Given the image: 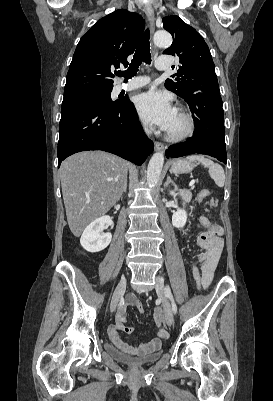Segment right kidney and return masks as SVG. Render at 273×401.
I'll list each match as a JSON object with an SVG mask.
<instances>
[{
    "label": "right kidney",
    "mask_w": 273,
    "mask_h": 401,
    "mask_svg": "<svg viewBox=\"0 0 273 401\" xmlns=\"http://www.w3.org/2000/svg\"><path fill=\"white\" fill-rule=\"evenodd\" d=\"M111 225H113V221L107 215L106 217H99V219H95L93 223H90L80 239L83 249L88 253H99V251L106 249L111 243L112 235L111 233H102V231H104L105 227H111Z\"/></svg>",
    "instance_id": "obj_1"
}]
</instances>
